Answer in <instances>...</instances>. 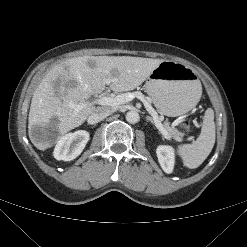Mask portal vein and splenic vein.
<instances>
[{
	"instance_id": "18ae733b",
	"label": "portal vein and splenic vein",
	"mask_w": 247,
	"mask_h": 247,
	"mask_svg": "<svg viewBox=\"0 0 247 247\" xmlns=\"http://www.w3.org/2000/svg\"><path fill=\"white\" fill-rule=\"evenodd\" d=\"M107 83H110V80H108ZM134 98H138L140 101L143 102L145 108L147 111L152 115L154 122L156 124V127L159 129L161 134L168 140L171 139L170 135L168 134V131L164 128V126L161 123V120L157 114V112L154 110V108L150 105V103L145 99L144 95L140 92H135V93H124L117 95L115 97H109V96H99L95 101L93 102H85V103H80V104H74L70 103V106L75 109V112H78L80 109L87 105H92V104H98V105H103V106H118L124 103H127L131 101ZM180 141L181 139H177Z\"/></svg>"
}]
</instances>
